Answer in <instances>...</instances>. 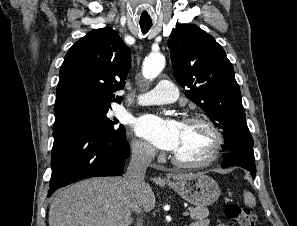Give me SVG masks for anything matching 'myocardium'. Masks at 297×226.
Returning <instances> with one entry per match:
<instances>
[{"label":"myocardium","mask_w":297,"mask_h":226,"mask_svg":"<svg viewBox=\"0 0 297 226\" xmlns=\"http://www.w3.org/2000/svg\"><path fill=\"white\" fill-rule=\"evenodd\" d=\"M183 123H202L204 124L213 134L214 136V143L212 145V148L208 155L199 161H194V162H188V161H183L179 159L177 156L174 154L171 155V160L172 162L181 168H186V169H200L207 167L214 163L216 159L219 157L220 152L223 148L224 145V136L223 133L221 132L220 128L217 126V124L210 119L209 117L202 115V114H195V115H190L187 116L183 119Z\"/></svg>","instance_id":"1"}]
</instances>
